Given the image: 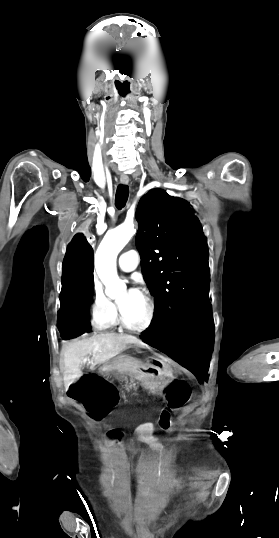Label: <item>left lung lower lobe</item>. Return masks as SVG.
Here are the masks:
<instances>
[{
    "label": "left lung lower lobe",
    "mask_w": 279,
    "mask_h": 538,
    "mask_svg": "<svg viewBox=\"0 0 279 538\" xmlns=\"http://www.w3.org/2000/svg\"><path fill=\"white\" fill-rule=\"evenodd\" d=\"M140 337L189 369L202 382L208 372L214 339L209 297L192 305L168 331L161 334L144 331Z\"/></svg>",
    "instance_id": "left-lung-lower-lobe-1"
}]
</instances>
